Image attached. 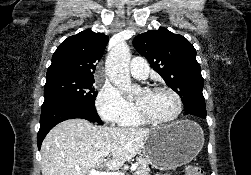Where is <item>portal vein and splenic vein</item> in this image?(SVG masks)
<instances>
[{
  "label": "portal vein and splenic vein",
  "instance_id": "portal-vein-and-splenic-vein-1",
  "mask_svg": "<svg viewBox=\"0 0 251 175\" xmlns=\"http://www.w3.org/2000/svg\"><path fill=\"white\" fill-rule=\"evenodd\" d=\"M136 167L137 163H132L130 167L131 171H134ZM77 171H80V169H77ZM88 175H125V173L123 171H116V169H111V171H96V169H91Z\"/></svg>",
  "mask_w": 251,
  "mask_h": 175
}]
</instances>
